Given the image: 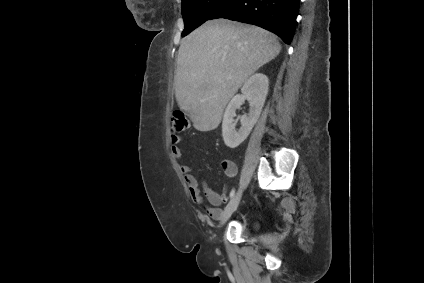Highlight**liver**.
I'll use <instances>...</instances> for the list:
<instances>
[{
  "mask_svg": "<svg viewBox=\"0 0 424 283\" xmlns=\"http://www.w3.org/2000/svg\"><path fill=\"white\" fill-rule=\"evenodd\" d=\"M277 37L255 25L207 21L181 41L174 77L179 107L196 130H214L249 76L281 51Z\"/></svg>",
  "mask_w": 424,
  "mask_h": 283,
  "instance_id": "liver-1",
  "label": "liver"
}]
</instances>
